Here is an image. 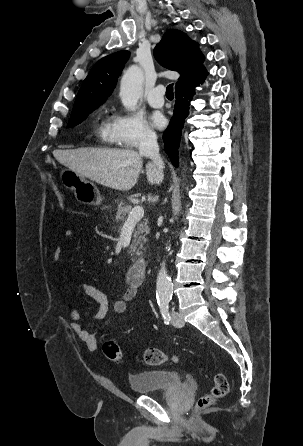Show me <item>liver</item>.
Returning <instances> with one entry per match:
<instances>
[{"mask_svg": "<svg viewBox=\"0 0 303 446\" xmlns=\"http://www.w3.org/2000/svg\"><path fill=\"white\" fill-rule=\"evenodd\" d=\"M53 155L59 163L82 176L120 191L134 187L143 167V155L130 149L55 150ZM145 167L148 183L159 184L163 173L153 162H148Z\"/></svg>", "mask_w": 303, "mask_h": 446, "instance_id": "liver-1", "label": "liver"}]
</instances>
